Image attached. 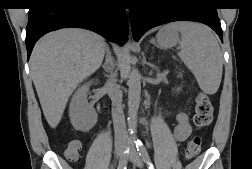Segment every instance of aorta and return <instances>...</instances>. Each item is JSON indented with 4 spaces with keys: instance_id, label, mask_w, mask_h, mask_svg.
<instances>
[{
    "instance_id": "obj_1",
    "label": "aorta",
    "mask_w": 252,
    "mask_h": 169,
    "mask_svg": "<svg viewBox=\"0 0 252 169\" xmlns=\"http://www.w3.org/2000/svg\"><path fill=\"white\" fill-rule=\"evenodd\" d=\"M132 48L130 44L126 45L124 49V58L126 63L124 69L128 76V113H127V124L130 132V138L135 139L137 129V115L140 106L141 99V76L137 70H132L130 67L131 55L129 50Z\"/></svg>"
}]
</instances>
